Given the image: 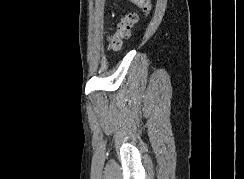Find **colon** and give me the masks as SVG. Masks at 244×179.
<instances>
[{
	"instance_id": "colon-1",
	"label": "colon",
	"mask_w": 244,
	"mask_h": 179,
	"mask_svg": "<svg viewBox=\"0 0 244 179\" xmlns=\"http://www.w3.org/2000/svg\"><path fill=\"white\" fill-rule=\"evenodd\" d=\"M133 3L134 0H129ZM152 0H140L137 4L138 8L145 14L149 15L152 11ZM136 21V13L128 12L121 19L118 27V31L115 34H110L107 37V43L112 50H118L122 46L124 38L128 37L130 30Z\"/></svg>"
}]
</instances>
